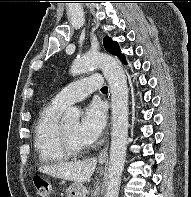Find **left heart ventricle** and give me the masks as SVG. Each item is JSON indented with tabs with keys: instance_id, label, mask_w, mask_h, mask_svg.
Instances as JSON below:
<instances>
[{
	"instance_id": "b2bd125f",
	"label": "left heart ventricle",
	"mask_w": 191,
	"mask_h": 197,
	"mask_svg": "<svg viewBox=\"0 0 191 197\" xmlns=\"http://www.w3.org/2000/svg\"><path fill=\"white\" fill-rule=\"evenodd\" d=\"M78 127H79L78 123H70L63 126V128L65 129V131L67 132V134L75 144L84 145L79 141L77 137Z\"/></svg>"
}]
</instances>
